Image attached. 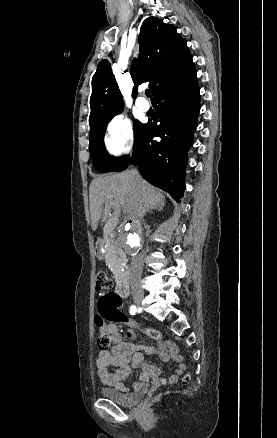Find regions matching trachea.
<instances>
[{
  "label": "trachea",
  "mask_w": 277,
  "mask_h": 438,
  "mask_svg": "<svg viewBox=\"0 0 277 438\" xmlns=\"http://www.w3.org/2000/svg\"><path fill=\"white\" fill-rule=\"evenodd\" d=\"M145 94H146L147 97H149V96H150V91H149V90H146V91H145Z\"/></svg>",
  "instance_id": "1"
}]
</instances>
